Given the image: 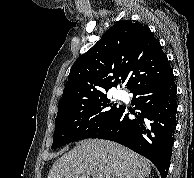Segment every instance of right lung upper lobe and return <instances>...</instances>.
I'll list each match as a JSON object with an SVG mask.
<instances>
[{"instance_id": "1", "label": "right lung upper lobe", "mask_w": 194, "mask_h": 178, "mask_svg": "<svg viewBox=\"0 0 194 178\" xmlns=\"http://www.w3.org/2000/svg\"><path fill=\"white\" fill-rule=\"evenodd\" d=\"M172 71L167 56L149 27L119 21L73 64L58 112L106 95L120 80L134 89L164 78Z\"/></svg>"}]
</instances>
